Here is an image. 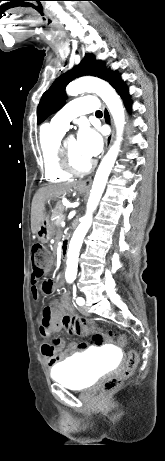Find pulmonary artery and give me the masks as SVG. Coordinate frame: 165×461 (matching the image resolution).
I'll list each match as a JSON object with an SVG mask.
<instances>
[{
    "label": "pulmonary artery",
    "instance_id": "pulmonary-artery-1",
    "mask_svg": "<svg viewBox=\"0 0 165 461\" xmlns=\"http://www.w3.org/2000/svg\"><path fill=\"white\" fill-rule=\"evenodd\" d=\"M99 103L95 97H81L70 101L64 108L58 111L51 119V124L66 131L69 122L76 116L97 111Z\"/></svg>",
    "mask_w": 165,
    "mask_h": 461
}]
</instances>
